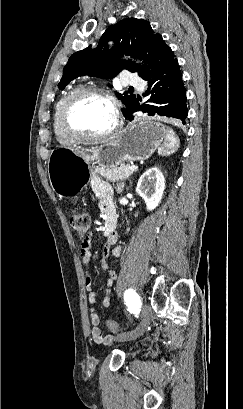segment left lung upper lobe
<instances>
[{
  "label": "left lung upper lobe",
  "mask_w": 243,
  "mask_h": 409,
  "mask_svg": "<svg viewBox=\"0 0 243 409\" xmlns=\"http://www.w3.org/2000/svg\"><path fill=\"white\" fill-rule=\"evenodd\" d=\"M109 41H114L113 49H102ZM123 54L139 57L145 64L138 66L132 62H119L117 58ZM174 59L171 48L160 34L151 29L148 21L127 18L107 28L96 49H91L90 45L72 54L64 67L58 87L64 88L73 79L82 75L109 79L123 69L131 72L138 71L139 76L146 80ZM116 95L126 106L124 114L137 100L134 95H127L126 92L116 93Z\"/></svg>",
  "instance_id": "obj_1"
}]
</instances>
